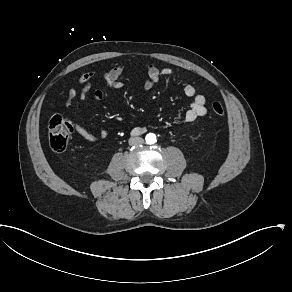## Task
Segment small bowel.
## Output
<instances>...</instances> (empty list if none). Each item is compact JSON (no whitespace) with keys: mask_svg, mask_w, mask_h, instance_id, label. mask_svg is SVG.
Wrapping results in <instances>:
<instances>
[{"mask_svg":"<svg viewBox=\"0 0 292 292\" xmlns=\"http://www.w3.org/2000/svg\"><path fill=\"white\" fill-rule=\"evenodd\" d=\"M124 70L125 67L121 65L114 68L105 69L100 73L92 70L82 74L78 80L82 86L80 92L78 93L73 88L67 91L65 100L66 110L71 108L77 97L81 99L90 98L94 100H102L105 97H109L108 94H104L101 90H91L92 80L99 74L111 90H118L123 86L120 78ZM176 76L177 73L172 68H159L153 64H150L147 67L144 87L149 90L153 88L161 78ZM182 88L184 94L193 99L190 108L185 114L186 121L193 122L206 114V99L202 94H197L195 86L190 82L184 81L182 83ZM73 128L79 137L90 142L106 139L109 136V131L106 129H103L98 133H93L80 123H74Z\"/></svg>","mask_w":292,"mask_h":292,"instance_id":"1","label":"small bowel"}]
</instances>
